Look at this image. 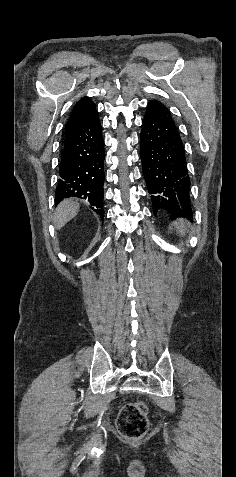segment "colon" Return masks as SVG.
<instances>
[{"label":"colon","mask_w":236,"mask_h":477,"mask_svg":"<svg viewBox=\"0 0 236 477\" xmlns=\"http://www.w3.org/2000/svg\"><path fill=\"white\" fill-rule=\"evenodd\" d=\"M116 425L119 434L125 438L143 437L149 428L146 406L140 401L126 404L118 414Z\"/></svg>","instance_id":"1"}]
</instances>
